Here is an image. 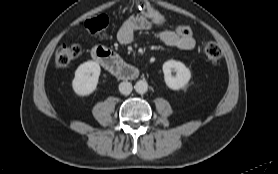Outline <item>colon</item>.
I'll list each match as a JSON object with an SVG mask.
<instances>
[{"mask_svg":"<svg viewBox=\"0 0 278 174\" xmlns=\"http://www.w3.org/2000/svg\"><path fill=\"white\" fill-rule=\"evenodd\" d=\"M139 9L143 14L149 18L154 24L165 26L167 19L160 12L151 7L146 0H136ZM108 25V18L105 15H99L86 20L85 27L91 33H97L103 30ZM181 37H193V31L189 25L181 24L170 29ZM81 54V48L77 44H62L58 47L55 53L54 62L56 67L65 68L76 60ZM205 59L217 64L222 57V50L220 46L211 41L204 47Z\"/></svg>","mask_w":278,"mask_h":174,"instance_id":"colon-1","label":"colon"}]
</instances>
